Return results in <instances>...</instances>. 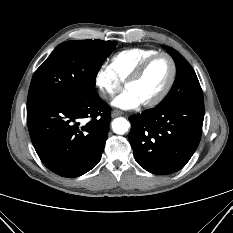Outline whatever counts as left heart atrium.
<instances>
[{
	"instance_id": "39dd6f15",
	"label": "left heart atrium",
	"mask_w": 233,
	"mask_h": 233,
	"mask_svg": "<svg viewBox=\"0 0 233 233\" xmlns=\"http://www.w3.org/2000/svg\"><path fill=\"white\" fill-rule=\"evenodd\" d=\"M140 104L141 102L139 101V99L135 96L134 93H132L129 90H124L112 102V105L114 107H117L123 110L135 109Z\"/></svg>"
}]
</instances>
